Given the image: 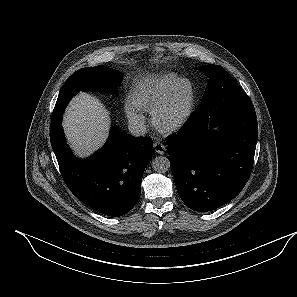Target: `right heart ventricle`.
Instances as JSON below:
<instances>
[{"label": "right heart ventricle", "mask_w": 297, "mask_h": 297, "mask_svg": "<svg viewBox=\"0 0 297 297\" xmlns=\"http://www.w3.org/2000/svg\"><path fill=\"white\" fill-rule=\"evenodd\" d=\"M179 79L174 73L148 74L135 80L130 89V101L140 110L152 111Z\"/></svg>", "instance_id": "1"}]
</instances>
